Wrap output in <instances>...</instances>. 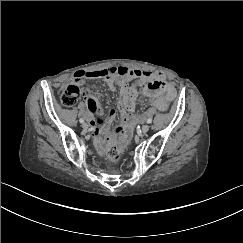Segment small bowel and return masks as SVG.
I'll return each mask as SVG.
<instances>
[{"label": "small bowel", "instance_id": "obj_1", "mask_svg": "<svg viewBox=\"0 0 243 243\" xmlns=\"http://www.w3.org/2000/svg\"><path fill=\"white\" fill-rule=\"evenodd\" d=\"M102 78L106 80L112 89L117 86V78L138 79L144 85L142 94L149 98L150 105L160 111H166L169 103L175 97V89L167 83L164 73L161 71L131 70L126 67H110L95 71H77L72 77V83L83 84L87 79ZM86 102L93 116L91 121L92 131L95 136L100 134V126L111 122L116 117V112L111 110L103 117V110L99 104L97 94L85 91Z\"/></svg>", "mask_w": 243, "mask_h": 243}]
</instances>
